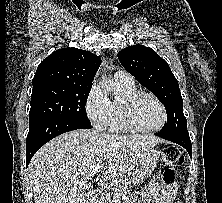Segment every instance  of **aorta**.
Instances as JSON below:
<instances>
[{"label":"aorta","mask_w":222,"mask_h":203,"mask_svg":"<svg viewBox=\"0 0 222 203\" xmlns=\"http://www.w3.org/2000/svg\"><path fill=\"white\" fill-rule=\"evenodd\" d=\"M101 87H102L103 91H105L107 93H113L116 90L114 82H111V81H104L103 80L101 82Z\"/></svg>","instance_id":"1"}]
</instances>
